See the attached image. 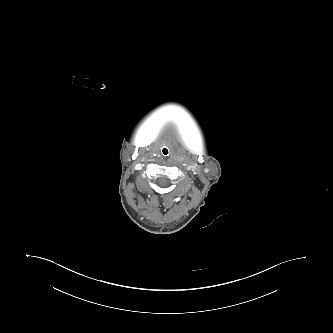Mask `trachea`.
<instances>
[{
	"label": "trachea",
	"instance_id": "obj_1",
	"mask_svg": "<svg viewBox=\"0 0 333 333\" xmlns=\"http://www.w3.org/2000/svg\"><path fill=\"white\" fill-rule=\"evenodd\" d=\"M162 151H163V154H165V155L168 154V150L166 148H163Z\"/></svg>",
	"mask_w": 333,
	"mask_h": 333
}]
</instances>
